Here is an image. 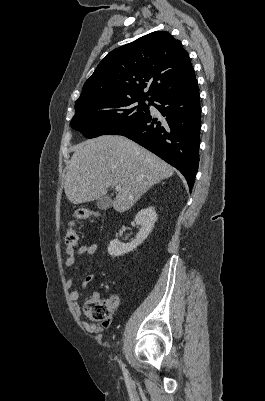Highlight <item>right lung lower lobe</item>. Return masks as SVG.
Listing matches in <instances>:
<instances>
[{
	"label": "right lung lower lobe",
	"instance_id": "98d812e1",
	"mask_svg": "<svg viewBox=\"0 0 265 401\" xmlns=\"http://www.w3.org/2000/svg\"><path fill=\"white\" fill-rule=\"evenodd\" d=\"M154 101L157 103L153 105L164 119L149 114L113 135H123L137 142L177 168L191 191L199 165L201 107L198 84Z\"/></svg>",
	"mask_w": 265,
	"mask_h": 401
}]
</instances>
